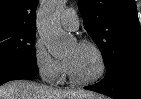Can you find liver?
I'll use <instances>...</instances> for the list:
<instances>
[{
    "label": "liver",
    "mask_w": 141,
    "mask_h": 99,
    "mask_svg": "<svg viewBox=\"0 0 141 99\" xmlns=\"http://www.w3.org/2000/svg\"><path fill=\"white\" fill-rule=\"evenodd\" d=\"M0 99H101L85 90H59L27 80H15L0 87Z\"/></svg>",
    "instance_id": "1"
}]
</instances>
